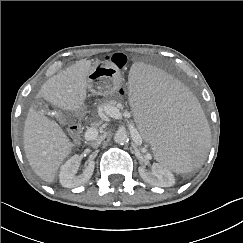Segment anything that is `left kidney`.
Listing matches in <instances>:
<instances>
[{"mask_svg": "<svg viewBox=\"0 0 243 243\" xmlns=\"http://www.w3.org/2000/svg\"><path fill=\"white\" fill-rule=\"evenodd\" d=\"M142 179L154 186L170 187L175 183V178L172 172L161 164L154 163L151 171L144 167L138 168Z\"/></svg>", "mask_w": 243, "mask_h": 243, "instance_id": "obj_1", "label": "left kidney"}]
</instances>
